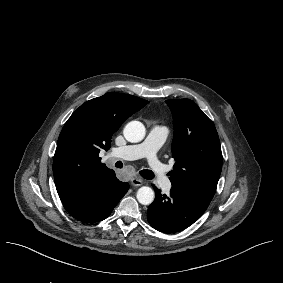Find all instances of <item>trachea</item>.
I'll list each match as a JSON object with an SVG mask.
<instances>
[{
	"instance_id": "3493384b",
	"label": "trachea",
	"mask_w": 283,
	"mask_h": 283,
	"mask_svg": "<svg viewBox=\"0 0 283 283\" xmlns=\"http://www.w3.org/2000/svg\"><path fill=\"white\" fill-rule=\"evenodd\" d=\"M115 166L117 168H122L123 164L121 161H118ZM139 174L147 180H152L154 178V173L151 170L143 169L139 171Z\"/></svg>"
}]
</instances>
